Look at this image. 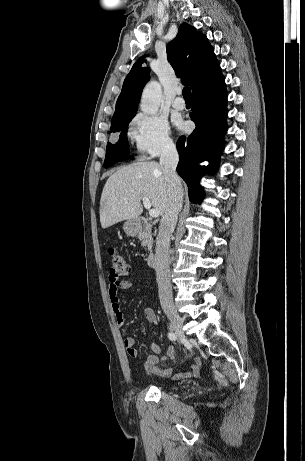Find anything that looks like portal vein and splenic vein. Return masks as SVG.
<instances>
[{
  "instance_id": "1",
  "label": "portal vein and splenic vein",
  "mask_w": 305,
  "mask_h": 461,
  "mask_svg": "<svg viewBox=\"0 0 305 461\" xmlns=\"http://www.w3.org/2000/svg\"><path fill=\"white\" fill-rule=\"evenodd\" d=\"M143 205L146 209L149 210V215L152 218H157L159 216V212L156 209H151V202L147 197H142Z\"/></svg>"
}]
</instances>
